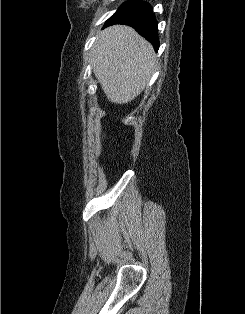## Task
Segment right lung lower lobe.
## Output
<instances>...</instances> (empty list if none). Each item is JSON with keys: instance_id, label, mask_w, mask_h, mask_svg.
<instances>
[{"instance_id": "1", "label": "right lung lower lobe", "mask_w": 245, "mask_h": 314, "mask_svg": "<svg viewBox=\"0 0 245 314\" xmlns=\"http://www.w3.org/2000/svg\"><path fill=\"white\" fill-rule=\"evenodd\" d=\"M114 24H125L133 27L140 35L150 41L155 50H158L157 21L152 7L143 0H130L120 7L108 19L105 26Z\"/></svg>"}]
</instances>
